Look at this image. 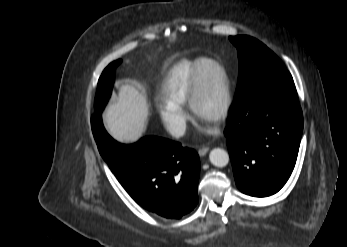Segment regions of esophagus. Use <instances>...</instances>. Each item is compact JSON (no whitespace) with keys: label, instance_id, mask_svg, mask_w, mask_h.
<instances>
[{"label":"esophagus","instance_id":"esophagus-1","mask_svg":"<svg viewBox=\"0 0 347 247\" xmlns=\"http://www.w3.org/2000/svg\"><path fill=\"white\" fill-rule=\"evenodd\" d=\"M208 151H209V147L205 146V147H202L198 150V154L200 156H204Z\"/></svg>","mask_w":347,"mask_h":247}]
</instances>
